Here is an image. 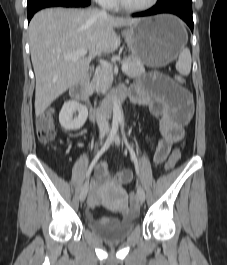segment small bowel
Wrapping results in <instances>:
<instances>
[{"label": "small bowel", "instance_id": "small-bowel-1", "mask_svg": "<svg viewBox=\"0 0 227 265\" xmlns=\"http://www.w3.org/2000/svg\"><path fill=\"white\" fill-rule=\"evenodd\" d=\"M143 76L131 89V101L159 118L162 138L158 142L153 157L154 163L158 165L166 160L173 144L184 138V127L193 115V102L190 93L168 76L154 72H144ZM86 132L87 130L83 129L72 136H83ZM96 172L99 180L93 184L89 197L90 207L98 203L100 181L122 186L133 178L131 170L111 172L105 163L100 164ZM103 219L111 220L110 218Z\"/></svg>", "mask_w": 227, "mask_h": 265}]
</instances>
